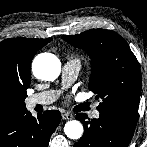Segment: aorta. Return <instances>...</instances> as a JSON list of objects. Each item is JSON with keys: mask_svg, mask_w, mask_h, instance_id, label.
Here are the masks:
<instances>
[{"mask_svg": "<svg viewBox=\"0 0 147 147\" xmlns=\"http://www.w3.org/2000/svg\"><path fill=\"white\" fill-rule=\"evenodd\" d=\"M32 71L40 80H55L61 71L60 60L53 54H39L32 63ZM83 125L77 120L68 121L64 126V132L70 139H80L83 135Z\"/></svg>", "mask_w": 147, "mask_h": 147, "instance_id": "obj_1", "label": "aorta"}]
</instances>
